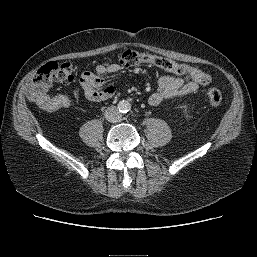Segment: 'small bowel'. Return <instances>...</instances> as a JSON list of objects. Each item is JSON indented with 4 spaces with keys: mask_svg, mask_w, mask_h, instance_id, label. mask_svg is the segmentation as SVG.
Instances as JSON below:
<instances>
[{
    "mask_svg": "<svg viewBox=\"0 0 257 257\" xmlns=\"http://www.w3.org/2000/svg\"><path fill=\"white\" fill-rule=\"evenodd\" d=\"M121 67L118 64L103 65L96 67L95 71L84 72L80 82L85 96L91 101H103L112 98L116 89L106 85L103 76L116 74ZM202 84L189 76L165 75L158 81L157 89L149 96L148 103L157 107L163 102L175 97L184 96L199 90Z\"/></svg>",
    "mask_w": 257,
    "mask_h": 257,
    "instance_id": "c3829d8e",
    "label": "small bowel"
}]
</instances>
